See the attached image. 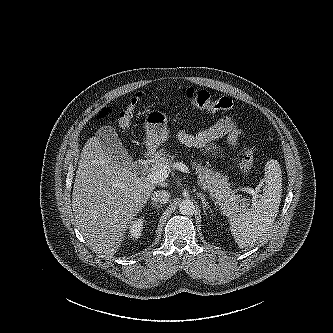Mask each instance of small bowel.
Returning <instances> with one entry per match:
<instances>
[{
  "label": "small bowel",
  "mask_w": 333,
  "mask_h": 333,
  "mask_svg": "<svg viewBox=\"0 0 333 333\" xmlns=\"http://www.w3.org/2000/svg\"><path fill=\"white\" fill-rule=\"evenodd\" d=\"M244 135V130L233 117H223L212 126L197 133L180 130L176 134L177 140L187 146L202 151L205 155L219 154L221 149L213 142L223 136L228 137L229 144L237 147L239 139Z\"/></svg>",
  "instance_id": "1"
}]
</instances>
